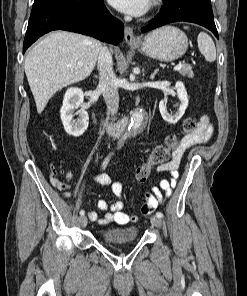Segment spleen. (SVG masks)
<instances>
[{"label": "spleen", "instance_id": "obj_1", "mask_svg": "<svg viewBox=\"0 0 247 296\" xmlns=\"http://www.w3.org/2000/svg\"><path fill=\"white\" fill-rule=\"evenodd\" d=\"M187 29V27H185ZM199 51L208 62L216 60V48L212 38L205 32H200L197 37Z\"/></svg>", "mask_w": 247, "mask_h": 296}]
</instances>
